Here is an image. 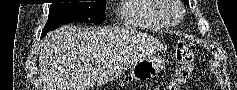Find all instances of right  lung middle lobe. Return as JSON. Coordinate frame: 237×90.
<instances>
[{"instance_id": "obj_1", "label": "right lung middle lobe", "mask_w": 237, "mask_h": 90, "mask_svg": "<svg viewBox=\"0 0 237 90\" xmlns=\"http://www.w3.org/2000/svg\"><path fill=\"white\" fill-rule=\"evenodd\" d=\"M105 5L106 0L51 4L48 20L42 30L41 38L49 31L71 22L103 23L105 20Z\"/></svg>"}]
</instances>
